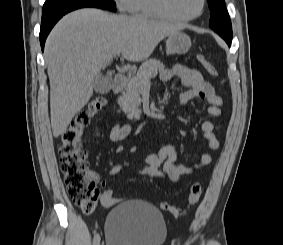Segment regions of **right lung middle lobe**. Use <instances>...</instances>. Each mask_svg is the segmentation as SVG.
I'll list each match as a JSON object with an SVG mask.
<instances>
[{
	"mask_svg": "<svg viewBox=\"0 0 283 245\" xmlns=\"http://www.w3.org/2000/svg\"><path fill=\"white\" fill-rule=\"evenodd\" d=\"M86 4H105L112 6L116 5L113 0H46L42 9V17L50 15L54 12L68 9L73 6Z\"/></svg>",
	"mask_w": 283,
	"mask_h": 245,
	"instance_id": "1",
	"label": "right lung middle lobe"
}]
</instances>
